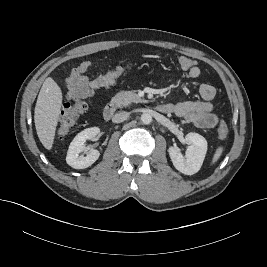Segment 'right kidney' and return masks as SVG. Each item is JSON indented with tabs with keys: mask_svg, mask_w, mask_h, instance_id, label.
I'll use <instances>...</instances> for the list:
<instances>
[{
	"mask_svg": "<svg viewBox=\"0 0 267 267\" xmlns=\"http://www.w3.org/2000/svg\"><path fill=\"white\" fill-rule=\"evenodd\" d=\"M99 132L98 127H91L84 129L75 136L70 143L66 156V162L69 166L75 169H84L91 166L99 158L98 150L91 149L87 151L85 146L86 140H93ZM82 152H85L86 156L81 154Z\"/></svg>",
	"mask_w": 267,
	"mask_h": 267,
	"instance_id": "ca27d5eb",
	"label": "right kidney"
}]
</instances>
